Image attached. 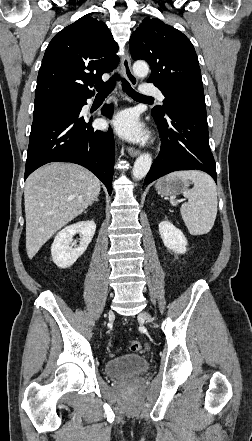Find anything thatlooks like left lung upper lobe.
Returning <instances> with one entry per match:
<instances>
[{"label":"left lung upper lobe","mask_w":252,"mask_h":441,"mask_svg":"<svg viewBox=\"0 0 252 441\" xmlns=\"http://www.w3.org/2000/svg\"><path fill=\"white\" fill-rule=\"evenodd\" d=\"M134 60H145L151 67L147 82L158 87L165 99L152 109L153 117L163 119L179 103L205 108L198 58L190 40L179 30L157 18H145L130 37Z\"/></svg>","instance_id":"left-lung-upper-lobe-1"}]
</instances>
